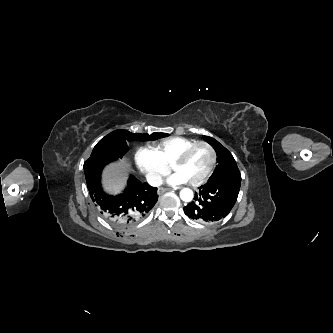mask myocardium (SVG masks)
Here are the masks:
<instances>
[{
	"mask_svg": "<svg viewBox=\"0 0 333 333\" xmlns=\"http://www.w3.org/2000/svg\"><path fill=\"white\" fill-rule=\"evenodd\" d=\"M199 146L206 147L207 149L210 150V152L212 154V160H211V163H210V166H209L208 170L204 173V175L201 176L199 179L190 182V184L192 186H199V185L205 183L210 178L212 173L214 172L216 164H217V160H218V154H217L216 149L208 142L197 141L194 144L190 145L189 147L185 148L171 163V169L174 170V168L176 166L184 163L186 161V159L188 158L189 154L195 148H197Z\"/></svg>",
	"mask_w": 333,
	"mask_h": 333,
	"instance_id": "1",
	"label": "myocardium"
}]
</instances>
